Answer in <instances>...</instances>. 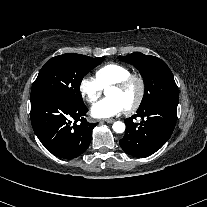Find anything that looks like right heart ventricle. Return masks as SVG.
Masks as SVG:
<instances>
[{
    "label": "right heart ventricle",
    "mask_w": 207,
    "mask_h": 207,
    "mask_svg": "<svg viewBox=\"0 0 207 207\" xmlns=\"http://www.w3.org/2000/svg\"><path fill=\"white\" fill-rule=\"evenodd\" d=\"M131 74L128 67L119 63H108L95 71V79L102 88L121 81Z\"/></svg>",
    "instance_id": "e07e8e85"
}]
</instances>
